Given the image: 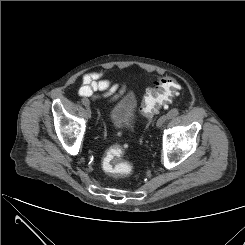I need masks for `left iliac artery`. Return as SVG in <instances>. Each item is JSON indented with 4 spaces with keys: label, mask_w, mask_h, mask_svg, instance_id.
<instances>
[{
    "label": "left iliac artery",
    "mask_w": 245,
    "mask_h": 245,
    "mask_svg": "<svg viewBox=\"0 0 245 245\" xmlns=\"http://www.w3.org/2000/svg\"><path fill=\"white\" fill-rule=\"evenodd\" d=\"M178 114H179V110L174 108V109L170 110L167 115H168V118L171 119V118H174L175 116H177Z\"/></svg>",
    "instance_id": "left-iliac-artery-1"
}]
</instances>
